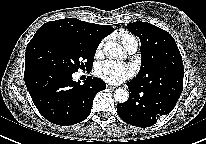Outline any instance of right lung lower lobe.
I'll use <instances>...</instances> for the list:
<instances>
[{
	"mask_svg": "<svg viewBox=\"0 0 206 144\" xmlns=\"http://www.w3.org/2000/svg\"><path fill=\"white\" fill-rule=\"evenodd\" d=\"M24 79L30 96L48 121L61 126L86 119L95 95L106 88L99 78L88 77L83 85L72 79V73L48 68L25 70Z\"/></svg>",
	"mask_w": 206,
	"mask_h": 144,
	"instance_id": "98d812e1",
	"label": "right lung lower lobe"
}]
</instances>
